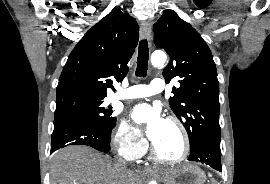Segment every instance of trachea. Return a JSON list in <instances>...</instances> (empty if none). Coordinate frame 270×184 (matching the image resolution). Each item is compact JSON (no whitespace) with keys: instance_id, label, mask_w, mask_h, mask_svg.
<instances>
[{"instance_id":"obj_1","label":"trachea","mask_w":270,"mask_h":184,"mask_svg":"<svg viewBox=\"0 0 270 184\" xmlns=\"http://www.w3.org/2000/svg\"><path fill=\"white\" fill-rule=\"evenodd\" d=\"M149 59L148 42L143 39L139 43V55L137 59L136 76L145 77L147 74Z\"/></svg>"}]
</instances>
